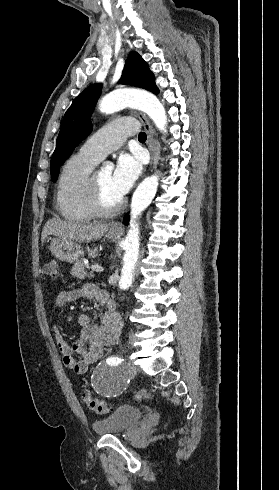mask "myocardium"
I'll list each match as a JSON object with an SVG mask.
<instances>
[{
  "label": "myocardium",
  "mask_w": 279,
  "mask_h": 490,
  "mask_svg": "<svg viewBox=\"0 0 279 490\" xmlns=\"http://www.w3.org/2000/svg\"><path fill=\"white\" fill-rule=\"evenodd\" d=\"M89 204L94 215L102 217L113 216L123 207V201L121 199L114 204H108L105 202L102 194V187L97 180L96 175L91 176Z\"/></svg>",
  "instance_id": "myocardium-1"
}]
</instances>
